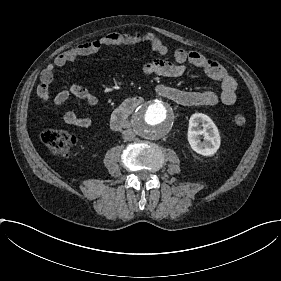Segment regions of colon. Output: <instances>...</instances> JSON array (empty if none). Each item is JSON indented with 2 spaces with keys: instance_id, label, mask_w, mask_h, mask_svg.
<instances>
[{
  "instance_id": "obj_1",
  "label": "colon",
  "mask_w": 281,
  "mask_h": 281,
  "mask_svg": "<svg viewBox=\"0 0 281 281\" xmlns=\"http://www.w3.org/2000/svg\"><path fill=\"white\" fill-rule=\"evenodd\" d=\"M246 122L247 117L243 112H235L231 116V123L236 127H243ZM41 138L54 155L67 156L77 145V138L62 128L45 130Z\"/></svg>"
}]
</instances>
